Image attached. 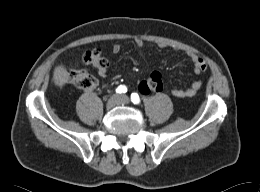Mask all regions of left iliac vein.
I'll return each instance as SVG.
<instances>
[{"label":"left iliac vein","instance_id":"left-iliac-vein-1","mask_svg":"<svg viewBox=\"0 0 260 192\" xmlns=\"http://www.w3.org/2000/svg\"><path fill=\"white\" fill-rule=\"evenodd\" d=\"M129 102H130V99L126 95H122L119 97L120 104H128Z\"/></svg>","mask_w":260,"mask_h":192}]
</instances>
